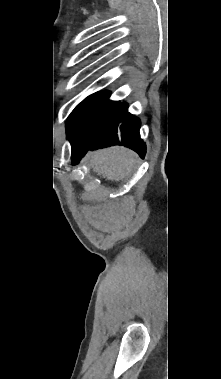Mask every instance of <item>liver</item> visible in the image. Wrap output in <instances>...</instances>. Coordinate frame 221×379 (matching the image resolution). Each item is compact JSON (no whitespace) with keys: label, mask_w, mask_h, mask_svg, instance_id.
<instances>
[{"label":"liver","mask_w":221,"mask_h":379,"mask_svg":"<svg viewBox=\"0 0 221 379\" xmlns=\"http://www.w3.org/2000/svg\"><path fill=\"white\" fill-rule=\"evenodd\" d=\"M136 154L122 146H114L104 150L89 152L85 161L93 171L103 178L119 182L132 172Z\"/></svg>","instance_id":"obj_1"}]
</instances>
